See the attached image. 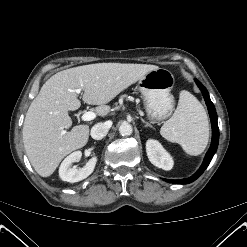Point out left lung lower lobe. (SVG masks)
Listing matches in <instances>:
<instances>
[{
  "label": "left lung lower lobe",
  "mask_w": 247,
  "mask_h": 247,
  "mask_svg": "<svg viewBox=\"0 0 247 247\" xmlns=\"http://www.w3.org/2000/svg\"><path fill=\"white\" fill-rule=\"evenodd\" d=\"M195 82L198 85V87L200 88V90L203 94V97L205 99L206 105L208 106V111H209V115H210V119H211V125H212V142H211V145H210L208 152L205 155V158H204V161H203L201 167L197 170V172L195 174H193L189 178L181 179V180L164 179L165 181L170 182V183L188 184V183L195 181L208 167V165L210 164V162H211V160H212V158H213V156L217 150V147H218L219 129H218L217 114H216L215 107H214V105H213V103L209 97L207 89L197 79H195Z\"/></svg>",
  "instance_id": "1"
}]
</instances>
